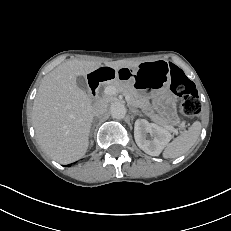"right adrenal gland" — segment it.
<instances>
[{
	"label": "right adrenal gland",
	"instance_id": "obj_1",
	"mask_svg": "<svg viewBox=\"0 0 231 231\" xmlns=\"http://www.w3.org/2000/svg\"><path fill=\"white\" fill-rule=\"evenodd\" d=\"M92 123L94 124V120L92 121ZM93 128H94V126H93ZM93 128H92V129H93Z\"/></svg>",
	"mask_w": 231,
	"mask_h": 231
}]
</instances>
